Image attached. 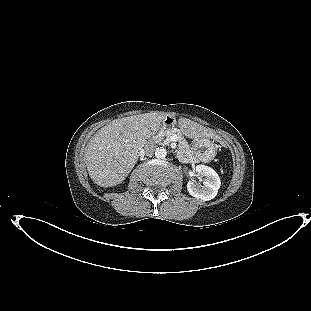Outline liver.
<instances>
[{
    "instance_id": "6515ba94",
    "label": "liver",
    "mask_w": 311,
    "mask_h": 311,
    "mask_svg": "<svg viewBox=\"0 0 311 311\" xmlns=\"http://www.w3.org/2000/svg\"><path fill=\"white\" fill-rule=\"evenodd\" d=\"M166 113H145L116 119L102 127L89 141L85 160L92 181L102 187L122 183L136 164L139 151L159 130ZM179 127L192 137H204V128L186 118Z\"/></svg>"
}]
</instances>
